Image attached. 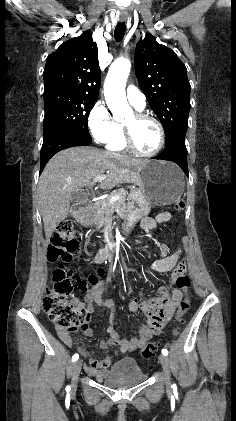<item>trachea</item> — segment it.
<instances>
[{"instance_id":"3493384b","label":"trachea","mask_w":236,"mask_h":421,"mask_svg":"<svg viewBox=\"0 0 236 421\" xmlns=\"http://www.w3.org/2000/svg\"><path fill=\"white\" fill-rule=\"evenodd\" d=\"M126 25L124 22H119L114 31V38L116 42H121L125 36Z\"/></svg>"}]
</instances>
